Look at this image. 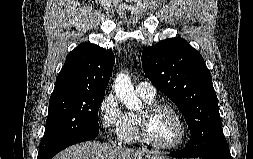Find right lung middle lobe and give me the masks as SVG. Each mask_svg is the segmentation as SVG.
<instances>
[{"label":"right lung middle lobe","instance_id":"dd1d6c3e","mask_svg":"<svg viewBox=\"0 0 253 159\" xmlns=\"http://www.w3.org/2000/svg\"><path fill=\"white\" fill-rule=\"evenodd\" d=\"M105 93L82 92L50 98L46 129L38 156L59 142L83 133H98V110Z\"/></svg>","mask_w":253,"mask_h":159}]
</instances>
